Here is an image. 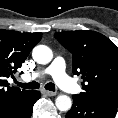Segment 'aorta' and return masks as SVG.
<instances>
[{"label":"aorta","instance_id":"762f6f07","mask_svg":"<svg viewBox=\"0 0 118 118\" xmlns=\"http://www.w3.org/2000/svg\"><path fill=\"white\" fill-rule=\"evenodd\" d=\"M32 57L38 64H48L53 58V53L48 46L37 45L32 51ZM55 105L60 111H68L72 106V101L67 95H59L55 100Z\"/></svg>","mask_w":118,"mask_h":118}]
</instances>
